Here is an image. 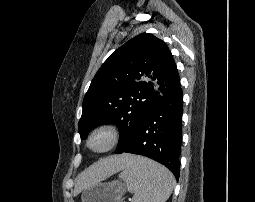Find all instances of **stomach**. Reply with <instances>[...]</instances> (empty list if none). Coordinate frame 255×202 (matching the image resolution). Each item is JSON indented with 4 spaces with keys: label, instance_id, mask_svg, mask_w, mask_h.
Listing matches in <instances>:
<instances>
[{
    "label": "stomach",
    "instance_id": "obj_1",
    "mask_svg": "<svg viewBox=\"0 0 255 202\" xmlns=\"http://www.w3.org/2000/svg\"><path fill=\"white\" fill-rule=\"evenodd\" d=\"M125 192V184L118 181L97 182L83 189L81 202H121Z\"/></svg>",
    "mask_w": 255,
    "mask_h": 202
}]
</instances>
